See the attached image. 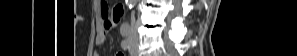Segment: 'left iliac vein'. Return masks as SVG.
<instances>
[{
  "label": "left iliac vein",
  "mask_w": 297,
  "mask_h": 56,
  "mask_svg": "<svg viewBox=\"0 0 297 56\" xmlns=\"http://www.w3.org/2000/svg\"><path fill=\"white\" fill-rule=\"evenodd\" d=\"M131 56H138V48L136 42H131L130 50H129Z\"/></svg>",
  "instance_id": "obj_1"
}]
</instances>
